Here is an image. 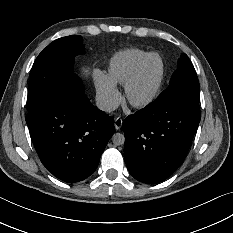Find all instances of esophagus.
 Listing matches in <instances>:
<instances>
[{
	"instance_id": "obj_1",
	"label": "esophagus",
	"mask_w": 233,
	"mask_h": 233,
	"mask_svg": "<svg viewBox=\"0 0 233 233\" xmlns=\"http://www.w3.org/2000/svg\"><path fill=\"white\" fill-rule=\"evenodd\" d=\"M122 122H123V120H122V118H120V117H117V118L115 119L114 125H115V128H116L117 130H119V129L122 127Z\"/></svg>"
}]
</instances>
